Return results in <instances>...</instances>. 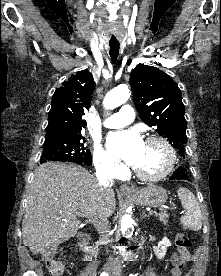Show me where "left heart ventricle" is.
<instances>
[{
    "label": "left heart ventricle",
    "mask_w": 221,
    "mask_h": 276,
    "mask_svg": "<svg viewBox=\"0 0 221 276\" xmlns=\"http://www.w3.org/2000/svg\"><path fill=\"white\" fill-rule=\"evenodd\" d=\"M166 162L167 155L161 144L144 143L142 156L135 167L144 173L155 174L163 170Z\"/></svg>",
    "instance_id": "obj_1"
}]
</instances>
